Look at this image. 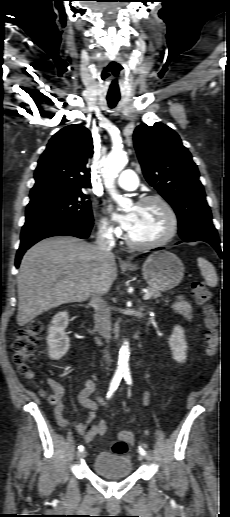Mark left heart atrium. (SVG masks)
<instances>
[{"label":"left heart atrium","mask_w":230,"mask_h":517,"mask_svg":"<svg viewBox=\"0 0 230 517\" xmlns=\"http://www.w3.org/2000/svg\"><path fill=\"white\" fill-rule=\"evenodd\" d=\"M135 217L136 215L134 210H131L122 215H115V218L121 223L123 228L127 231H129L133 226Z\"/></svg>","instance_id":"left-heart-atrium-1"}]
</instances>
